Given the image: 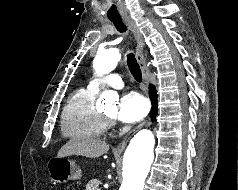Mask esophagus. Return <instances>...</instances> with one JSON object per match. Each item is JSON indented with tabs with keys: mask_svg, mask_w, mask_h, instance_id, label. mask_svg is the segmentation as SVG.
<instances>
[{
	"mask_svg": "<svg viewBox=\"0 0 238 190\" xmlns=\"http://www.w3.org/2000/svg\"><path fill=\"white\" fill-rule=\"evenodd\" d=\"M124 23L132 31V33H133V35L135 37V40H136V43H137V46H136V59L138 61L140 69L142 71L143 79H144L145 83L147 84L149 82V80H148V71H147L146 59H145L144 52H143V48H144L143 36H142L139 28L136 26L135 22L132 19L124 18ZM146 123H147V121H143L138 126H136L134 129H132L130 132H128L124 136L122 141L117 145L116 150L118 152H122L125 149V147H126L128 141L130 140V138L140 128H142Z\"/></svg>",
	"mask_w": 238,
	"mask_h": 190,
	"instance_id": "1",
	"label": "esophagus"
}]
</instances>
